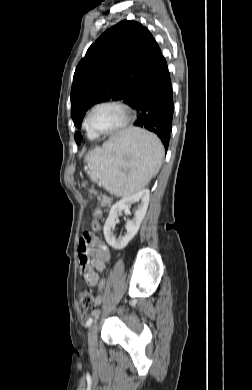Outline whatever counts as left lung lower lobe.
<instances>
[{"label":"left lung lower lobe","mask_w":252,"mask_h":390,"mask_svg":"<svg viewBox=\"0 0 252 390\" xmlns=\"http://www.w3.org/2000/svg\"><path fill=\"white\" fill-rule=\"evenodd\" d=\"M129 106L138 114L134 125L157 134L167 150L174 103L170 74L162 54L142 78Z\"/></svg>","instance_id":"obj_1"}]
</instances>
